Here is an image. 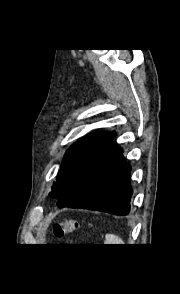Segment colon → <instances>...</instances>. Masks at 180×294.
<instances>
[{
  "label": "colon",
  "mask_w": 180,
  "mask_h": 294,
  "mask_svg": "<svg viewBox=\"0 0 180 294\" xmlns=\"http://www.w3.org/2000/svg\"><path fill=\"white\" fill-rule=\"evenodd\" d=\"M77 221L72 219H64L56 222L53 228V233L56 237H63L69 233H72L78 228Z\"/></svg>",
  "instance_id": "obj_1"
}]
</instances>
